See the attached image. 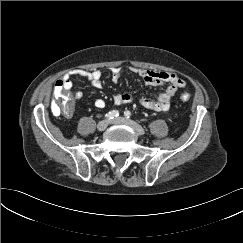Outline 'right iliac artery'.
Here are the masks:
<instances>
[{
	"label": "right iliac artery",
	"mask_w": 243,
	"mask_h": 243,
	"mask_svg": "<svg viewBox=\"0 0 243 243\" xmlns=\"http://www.w3.org/2000/svg\"><path fill=\"white\" fill-rule=\"evenodd\" d=\"M118 115H119V112L117 110H112L105 115V118H107L108 120H111V119L116 118Z\"/></svg>",
	"instance_id": "obj_1"
}]
</instances>
